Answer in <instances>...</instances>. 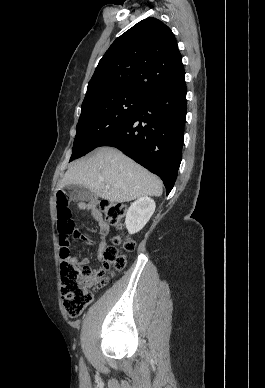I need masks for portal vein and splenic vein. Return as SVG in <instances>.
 Masks as SVG:
<instances>
[{"mask_svg":"<svg viewBox=\"0 0 265 388\" xmlns=\"http://www.w3.org/2000/svg\"><path fill=\"white\" fill-rule=\"evenodd\" d=\"M100 182H104V178H100ZM108 188V186H106Z\"/></svg>","mask_w":265,"mask_h":388,"instance_id":"obj_1","label":"portal vein and splenic vein"}]
</instances>
